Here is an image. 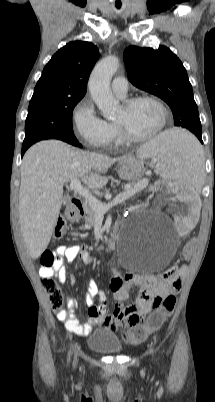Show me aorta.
Instances as JSON below:
<instances>
[{"instance_id": "obj_1", "label": "aorta", "mask_w": 215, "mask_h": 402, "mask_svg": "<svg viewBox=\"0 0 215 402\" xmlns=\"http://www.w3.org/2000/svg\"><path fill=\"white\" fill-rule=\"evenodd\" d=\"M119 65L117 57H105L95 65L88 82L90 95L106 119L114 118L119 111V104L110 89V81Z\"/></svg>"}]
</instances>
